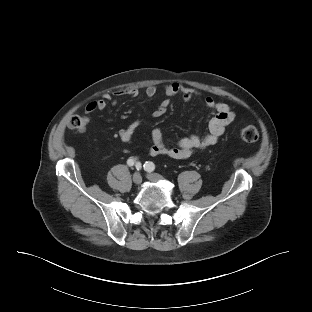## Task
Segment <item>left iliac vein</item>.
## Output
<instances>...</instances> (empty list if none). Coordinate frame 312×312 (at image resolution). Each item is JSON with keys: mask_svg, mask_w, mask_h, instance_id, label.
Here are the masks:
<instances>
[{"mask_svg": "<svg viewBox=\"0 0 312 312\" xmlns=\"http://www.w3.org/2000/svg\"><path fill=\"white\" fill-rule=\"evenodd\" d=\"M147 178L150 181H158V180L162 179V176L157 174V173H149V174H147Z\"/></svg>", "mask_w": 312, "mask_h": 312, "instance_id": "1", "label": "left iliac vein"}]
</instances>
